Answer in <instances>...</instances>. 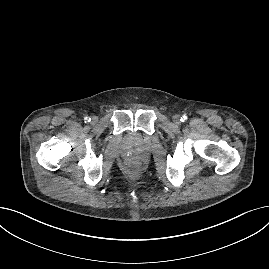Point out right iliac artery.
<instances>
[{
    "mask_svg": "<svg viewBox=\"0 0 269 269\" xmlns=\"http://www.w3.org/2000/svg\"><path fill=\"white\" fill-rule=\"evenodd\" d=\"M90 120H91V118H89V117H87V116L84 118L85 123H86V122H90Z\"/></svg>",
    "mask_w": 269,
    "mask_h": 269,
    "instance_id": "82829eb1",
    "label": "right iliac artery"
}]
</instances>
